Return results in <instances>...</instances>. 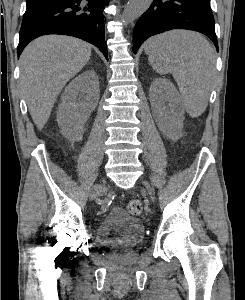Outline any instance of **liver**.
Returning <instances> with one entry per match:
<instances>
[{
	"mask_svg": "<svg viewBox=\"0 0 245 300\" xmlns=\"http://www.w3.org/2000/svg\"><path fill=\"white\" fill-rule=\"evenodd\" d=\"M90 57L88 43L62 35L39 37L24 49L20 57V86L38 129L48 121L63 87Z\"/></svg>",
	"mask_w": 245,
	"mask_h": 300,
	"instance_id": "liver-1",
	"label": "liver"
}]
</instances>
